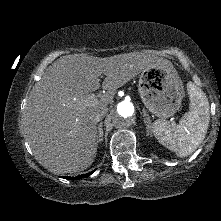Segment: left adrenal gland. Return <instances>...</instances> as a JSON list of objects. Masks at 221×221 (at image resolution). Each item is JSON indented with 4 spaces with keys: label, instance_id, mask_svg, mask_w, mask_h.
I'll return each mask as SVG.
<instances>
[{
    "label": "left adrenal gland",
    "instance_id": "obj_1",
    "mask_svg": "<svg viewBox=\"0 0 221 221\" xmlns=\"http://www.w3.org/2000/svg\"><path fill=\"white\" fill-rule=\"evenodd\" d=\"M143 116H144V123L146 125V133L147 135H150L151 134V120H150V116L149 114L146 112L145 109H143Z\"/></svg>",
    "mask_w": 221,
    "mask_h": 221
}]
</instances>
